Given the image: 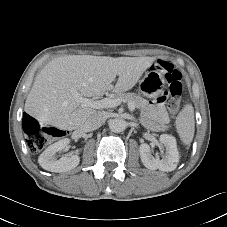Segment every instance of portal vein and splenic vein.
<instances>
[{"label":"portal vein and splenic vein","instance_id":"portal-vein-and-splenic-vein-1","mask_svg":"<svg viewBox=\"0 0 227 227\" xmlns=\"http://www.w3.org/2000/svg\"><path fill=\"white\" fill-rule=\"evenodd\" d=\"M74 98L81 104L82 107H91L94 109L113 108L122 103L119 98H104L101 100H92L89 98L82 97L77 91L72 90ZM128 108L131 112L135 110L133 103H128Z\"/></svg>","mask_w":227,"mask_h":227}]
</instances>
